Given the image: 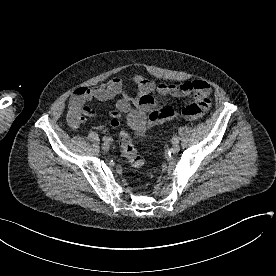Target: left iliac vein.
<instances>
[{"mask_svg":"<svg viewBox=\"0 0 276 276\" xmlns=\"http://www.w3.org/2000/svg\"><path fill=\"white\" fill-rule=\"evenodd\" d=\"M179 150H180L179 144L178 143H172L171 152L173 154H176V153L179 152Z\"/></svg>","mask_w":276,"mask_h":276,"instance_id":"1","label":"left iliac vein"}]
</instances>
